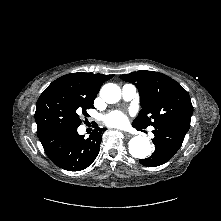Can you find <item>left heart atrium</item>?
I'll return each instance as SVG.
<instances>
[{
	"label": "left heart atrium",
	"instance_id": "left-heart-atrium-1",
	"mask_svg": "<svg viewBox=\"0 0 221 221\" xmlns=\"http://www.w3.org/2000/svg\"><path fill=\"white\" fill-rule=\"evenodd\" d=\"M105 122L112 127H121L126 124L127 118L124 113L115 111L107 116Z\"/></svg>",
	"mask_w": 221,
	"mask_h": 221
}]
</instances>
